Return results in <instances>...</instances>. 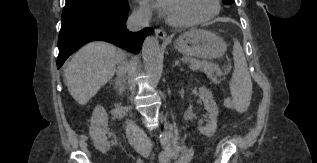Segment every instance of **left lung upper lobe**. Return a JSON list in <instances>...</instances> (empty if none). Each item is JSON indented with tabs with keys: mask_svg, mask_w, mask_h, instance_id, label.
Wrapping results in <instances>:
<instances>
[{
	"mask_svg": "<svg viewBox=\"0 0 317 163\" xmlns=\"http://www.w3.org/2000/svg\"><path fill=\"white\" fill-rule=\"evenodd\" d=\"M225 5H229L233 2V0H222Z\"/></svg>",
	"mask_w": 317,
	"mask_h": 163,
	"instance_id": "obj_1",
	"label": "left lung upper lobe"
}]
</instances>
